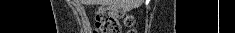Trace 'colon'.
<instances>
[{"instance_id": "5ec220e1", "label": "colon", "mask_w": 235, "mask_h": 33, "mask_svg": "<svg viewBox=\"0 0 235 33\" xmlns=\"http://www.w3.org/2000/svg\"><path fill=\"white\" fill-rule=\"evenodd\" d=\"M123 16L125 13L116 7L102 8L97 13L93 33H121L119 19ZM125 22L130 27L134 23L131 16H125Z\"/></svg>"}]
</instances>
